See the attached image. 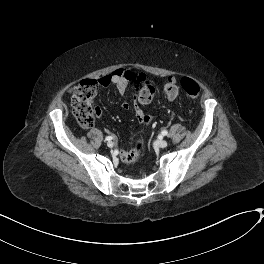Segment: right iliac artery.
<instances>
[{
    "mask_svg": "<svg viewBox=\"0 0 264 264\" xmlns=\"http://www.w3.org/2000/svg\"><path fill=\"white\" fill-rule=\"evenodd\" d=\"M112 139H113V137H111V136H107V137L105 138L106 141H110V140H112Z\"/></svg>",
    "mask_w": 264,
    "mask_h": 264,
    "instance_id": "82829eb1",
    "label": "right iliac artery"
}]
</instances>
